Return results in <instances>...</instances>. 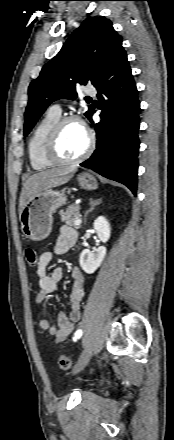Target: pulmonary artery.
Returning <instances> with one entry per match:
<instances>
[{"mask_svg": "<svg viewBox=\"0 0 174 440\" xmlns=\"http://www.w3.org/2000/svg\"><path fill=\"white\" fill-rule=\"evenodd\" d=\"M85 93L89 94V95H95L96 94V89L93 86H87L85 88ZM49 112L60 116L61 113H62V109H61L60 105L55 104V105H52L49 108Z\"/></svg>", "mask_w": 174, "mask_h": 440, "instance_id": "e3ab8cb5", "label": "pulmonary artery"}]
</instances>
